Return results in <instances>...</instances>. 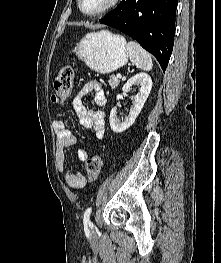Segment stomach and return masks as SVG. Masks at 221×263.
Here are the masks:
<instances>
[{"mask_svg":"<svg viewBox=\"0 0 221 263\" xmlns=\"http://www.w3.org/2000/svg\"><path fill=\"white\" fill-rule=\"evenodd\" d=\"M74 52L91 70L101 74L111 73L128 62L125 39L106 30L87 34Z\"/></svg>","mask_w":221,"mask_h":263,"instance_id":"obj_1","label":"stomach"}]
</instances>
